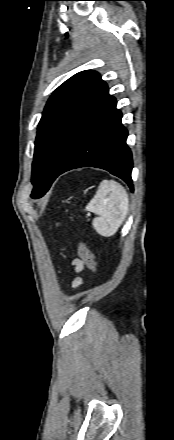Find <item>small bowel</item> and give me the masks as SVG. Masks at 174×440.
Returning <instances> with one entry per match:
<instances>
[{
    "instance_id": "small-bowel-1",
    "label": "small bowel",
    "mask_w": 174,
    "mask_h": 440,
    "mask_svg": "<svg viewBox=\"0 0 174 440\" xmlns=\"http://www.w3.org/2000/svg\"><path fill=\"white\" fill-rule=\"evenodd\" d=\"M73 265L75 266V269L77 272H80L83 269V262L80 259H75L73 261ZM83 284V280L81 278H76L72 282V288L77 289L81 287Z\"/></svg>"
}]
</instances>
